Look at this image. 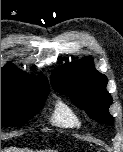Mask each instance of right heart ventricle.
I'll use <instances>...</instances> for the list:
<instances>
[{"label":"right heart ventricle","mask_w":123,"mask_h":152,"mask_svg":"<svg viewBox=\"0 0 123 152\" xmlns=\"http://www.w3.org/2000/svg\"><path fill=\"white\" fill-rule=\"evenodd\" d=\"M50 121L55 126L65 129H79L82 126V121L77 113L62 101L56 103Z\"/></svg>","instance_id":"obj_1"}]
</instances>
